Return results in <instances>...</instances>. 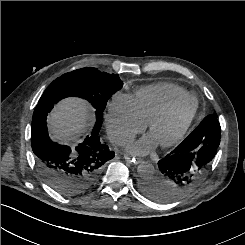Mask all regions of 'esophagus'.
I'll return each instance as SVG.
<instances>
[{
  "label": "esophagus",
  "mask_w": 245,
  "mask_h": 245,
  "mask_svg": "<svg viewBox=\"0 0 245 245\" xmlns=\"http://www.w3.org/2000/svg\"><path fill=\"white\" fill-rule=\"evenodd\" d=\"M124 159L132 165H138L139 163H141L140 158H136V157L129 156V155H125Z\"/></svg>",
  "instance_id": "1"
}]
</instances>
